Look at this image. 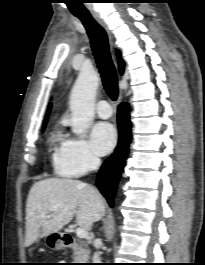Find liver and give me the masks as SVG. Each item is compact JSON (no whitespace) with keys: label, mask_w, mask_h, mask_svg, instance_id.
Instances as JSON below:
<instances>
[{"label":"liver","mask_w":205,"mask_h":265,"mask_svg":"<svg viewBox=\"0 0 205 265\" xmlns=\"http://www.w3.org/2000/svg\"><path fill=\"white\" fill-rule=\"evenodd\" d=\"M104 211L101 194L84 182L58 178L35 182L27 198L24 244L29 247L39 237L60 231L75 215L77 224L90 230Z\"/></svg>","instance_id":"liver-1"}]
</instances>
